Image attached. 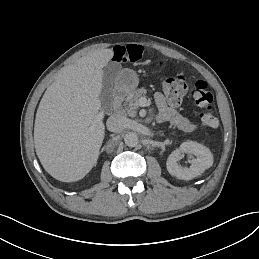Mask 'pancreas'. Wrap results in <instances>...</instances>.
Segmentation results:
<instances>
[{"label": "pancreas", "instance_id": "cf45deb5", "mask_svg": "<svg viewBox=\"0 0 259 259\" xmlns=\"http://www.w3.org/2000/svg\"><path fill=\"white\" fill-rule=\"evenodd\" d=\"M146 93L147 90L145 88H138L135 92L129 93L125 98L123 106H125V111L130 117L136 116V110L139 107V99L145 97Z\"/></svg>", "mask_w": 259, "mask_h": 259}]
</instances>
